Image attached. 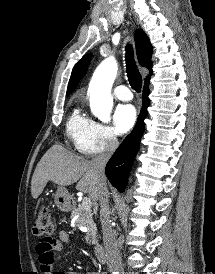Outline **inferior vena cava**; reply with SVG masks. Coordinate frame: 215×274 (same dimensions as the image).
Segmentation results:
<instances>
[{
    "label": "inferior vena cava",
    "mask_w": 215,
    "mask_h": 274,
    "mask_svg": "<svg viewBox=\"0 0 215 274\" xmlns=\"http://www.w3.org/2000/svg\"><path fill=\"white\" fill-rule=\"evenodd\" d=\"M117 146V138L115 136H111L106 143L104 152L95 156L91 160V165L99 178L98 200L100 205V222L102 226L103 244L106 252L107 266L110 271L122 270V259L110 221V210L108 204L109 192L104 176L106 163L116 150Z\"/></svg>",
    "instance_id": "1"
}]
</instances>
